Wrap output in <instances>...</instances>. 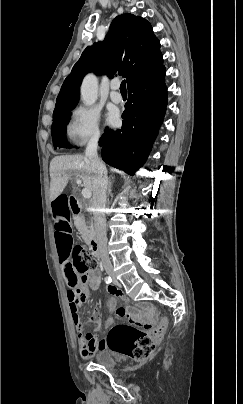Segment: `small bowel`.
<instances>
[{
  "mask_svg": "<svg viewBox=\"0 0 243 404\" xmlns=\"http://www.w3.org/2000/svg\"><path fill=\"white\" fill-rule=\"evenodd\" d=\"M68 203L69 199L65 194H59L52 200L51 212L54 239L67 285V299L71 319L77 331L80 354L83 358H89L97 351L106 348V342L93 334L83 333L84 325L79 317L78 308L87 300L88 289H94L99 286L101 274L98 269H94L86 277L78 279L73 271L71 262L72 235L68 218ZM108 294L110 308L115 309L119 317L127 316L126 308L116 307V302L122 297V293L114 287H108Z\"/></svg>",
  "mask_w": 243,
  "mask_h": 404,
  "instance_id": "small-bowel-1",
  "label": "small bowel"
}]
</instances>
